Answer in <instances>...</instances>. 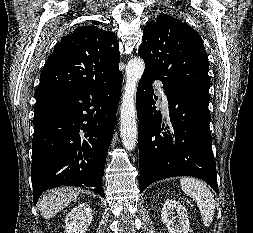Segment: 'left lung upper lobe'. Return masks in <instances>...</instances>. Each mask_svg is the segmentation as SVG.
<instances>
[{
	"instance_id": "left-lung-upper-lobe-1",
	"label": "left lung upper lobe",
	"mask_w": 253,
	"mask_h": 233,
	"mask_svg": "<svg viewBox=\"0 0 253 233\" xmlns=\"http://www.w3.org/2000/svg\"><path fill=\"white\" fill-rule=\"evenodd\" d=\"M138 55L145 72L172 91L189 88L209 90V61L203 41L185 22L160 14L144 28Z\"/></svg>"
}]
</instances>
